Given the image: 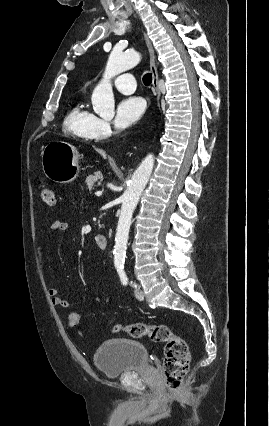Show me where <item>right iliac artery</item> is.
<instances>
[{"instance_id":"82829eb1","label":"right iliac artery","mask_w":269,"mask_h":426,"mask_svg":"<svg viewBox=\"0 0 269 426\" xmlns=\"http://www.w3.org/2000/svg\"><path fill=\"white\" fill-rule=\"evenodd\" d=\"M117 272L120 276L121 282L123 285H127L128 284V278L123 270L122 267H117Z\"/></svg>"}]
</instances>
